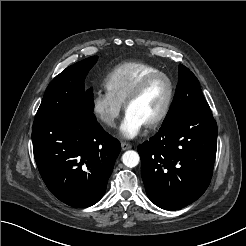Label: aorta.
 I'll return each instance as SVG.
<instances>
[{"label":"aorta","instance_id":"obj_1","mask_svg":"<svg viewBox=\"0 0 246 246\" xmlns=\"http://www.w3.org/2000/svg\"><path fill=\"white\" fill-rule=\"evenodd\" d=\"M122 161L125 166L133 168L138 165L140 157L136 151L129 150L122 155Z\"/></svg>","mask_w":246,"mask_h":246}]
</instances>
